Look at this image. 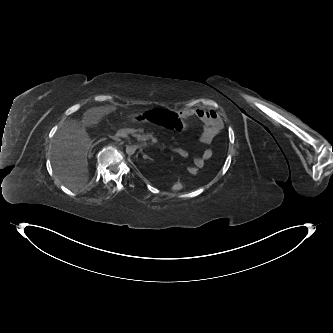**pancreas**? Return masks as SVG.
<instances>
[{"mask_svg": "<svg viewBox=\"0 0 333 333\" xmlns=\"http://www.w3.org/2000/svg\"><path fill=\"white\" fill-rule=\"evenodd\" d=\"M125 133L131 134L133 137L137 139L139 142H145L146 140L153 138L150 133L144 134L142 130H136V129H125Z\"/></svg>", "mask_w": 333, "mask_h": 333, "instance_id": "obj_1", "label": "pancreas"}]
</instances>
